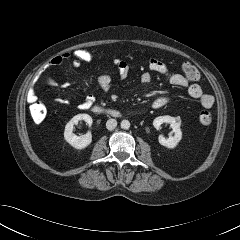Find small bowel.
Masks as SVG:
<instances>
[{"label": "small bowel", "instance_id": "1", "mask_svg": "<svg viewBox=\"0 0 240 240\" xmlns=\"http://www.w3.org/2000/svg\"><path fill=\"white\" fill-rule=\"evenodd\" d=\"M68 61L67 53L59 54L53 57L48 65L55 66L60 65L63 62ZM115 66L117 67L118 77L121 80H124L128 77L130 72V66L127 62L123 60H116ZM148 69L149 71L143 72L140 76V80L142 83L148 84L152 81V73L161 74L167 76L171 85L181 88H187L188 94L190 97L198 99L201 105L205 108H211L214 104V97L212 95L204 93L203 89L200 85L196 83H191L183 74L179 73H170L167 66L160 60L151 58L148 62ZM46 82L49 85L57 86L60 88H67L71 85L69 81H57L53 78H47ZM98 82L101 88L104 91H108L111 88L112 79L111 76L107 72H103L98 77ZM37 100V94L35 91L34 84L30 87L27 92V101L32 103ZM170 97L167 94H162L156 97L153 102V108L159 109L163 107L168 101ZM58 103L67 105L69 104V100L66 98L57 99ZM94 102V98L92 96H88L83 102L78 104V108L81 110L88 109L92 103Z\"/></svg>", "mask_w": 240, "mask_h": 240}]
</instances>
